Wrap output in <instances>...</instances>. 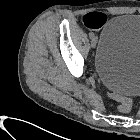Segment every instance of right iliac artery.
Listing matches in <instances>:
<instances>
[{
    "mask_svg": "<svg viewBox=\"0 0 140 140\" xmlns=\"http://www.w3.org/2000/svg\"><path fill=\"white\" fill-rule=\"evenodd\" d=\"M89 36H90V38H93L94 37V33L93 32H90L89 33Z\"/></svg>",
    "mask_w": 140,
    "mask_h": 140,
    "instance_id": "right-iliac-artery-1",
    "label": "right iliac artery"
}]
</instances>
